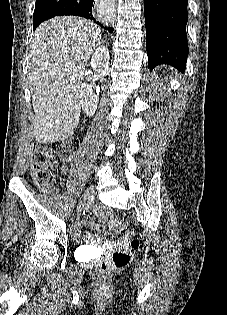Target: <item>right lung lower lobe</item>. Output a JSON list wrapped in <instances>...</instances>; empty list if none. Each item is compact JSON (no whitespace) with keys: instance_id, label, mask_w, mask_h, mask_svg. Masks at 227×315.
Returning <instances> with one entry per match:
<instances>
[{"instance_id":"98d812e1","label":"right lung lower lobe","mask_w":227,"mask_h":315,"mask_svg":"<svg viewBox=\"0 0 227 315\" xmlns=\"http://www.w3.org/2000/svg\"><path fill=\"white\" fill-rule=\"evenodd\" d=\"M92 7L93 0H73L65 7L60 9L57 12L56 16H81L96 22L95 18L92 15ZM97 24L103 27L101 23L97 22ZM104 28L109 30L110 32L113 31V28L106 26Z\"/></svg>"}]
</instances>
